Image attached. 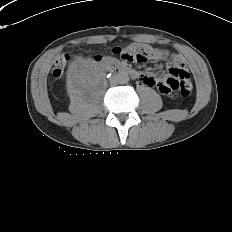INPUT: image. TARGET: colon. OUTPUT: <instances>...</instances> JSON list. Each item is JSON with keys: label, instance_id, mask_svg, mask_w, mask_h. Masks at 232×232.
<instances>
[{"label": "colon", "instance_id": "colon-1", "mask_svg": "<svg viewBox=\"0 0 232 232\" xmlns=\"http://www.w3.org/2000/svg\"><path fill=\"white\" fill-rule=\"evenodd\" d=\"M114 54H121V58L127 62H133L138 64H143L150 59L158 58L160 53L158 51H153L149 48L147 49H139L138 51H133L131 49L127 50H119L115 49L112 51ZM100 59L101 57H97ZM67 58L65 56H61L55 63V66L52 70V75L54 78H60L63 75L64 66ZM165 82L171 86L172 92L171 96H181L188 97L191 93V84L189 81V74L183 68H178L176 66H172L170 70V75L167 77Z\"/></svg>", "mask_w": 232, "mask_h": 232}]
</instances>
